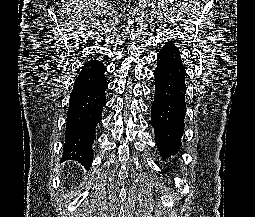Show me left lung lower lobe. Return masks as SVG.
<instances>
[{
	"mask_svg": "<svg viewBox=\"0 0 255 217\" xmlns=\"http://www.w3.org/2000/svg\"><path fill=\"white\" fill-rule=\"evenodd\" d=\"M156 87L151 107V125L162 157L175 155L181 146L186 114V70L180 51L164 45L157 55Z\"/></svg>",
	"mask_w": 255,
	"mask_h": 217,
	"instance_id": "1",
	"label": "left lung lower lobe"
}]
</instances>
